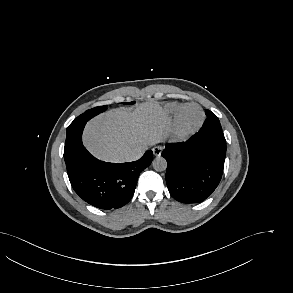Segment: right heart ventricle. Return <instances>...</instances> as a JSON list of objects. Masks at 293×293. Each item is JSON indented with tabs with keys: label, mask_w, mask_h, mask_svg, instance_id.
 <instances>
[{
	"label": "right heart ventricle",
	"mask_w": 293,
	"mask_h": 293,
	"mask_svg": "<svg viewBox=\"0 0 293 293\" xmlns=\"http://www.w3.org/2000/svg\"><path fill=\"white\" fill-rule=\"evenodd\" d=\"M179 107V104H169L166 107V111L171 115H175Z\"/></svg>",
	"instance_id": "right-heart-ventricle-1"
}]
</instances>
